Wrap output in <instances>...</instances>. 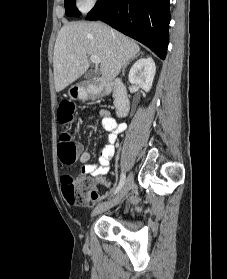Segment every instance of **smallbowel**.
Masks as SVG:
<instances>
[{
    "mask_svg": "<svg viewBox=\"0 0 227 279\" xmlns=\"http://www.w3.org/2000/svg\"><path fill=\"white\" fill-rule=\"evenodd\" d=\"M101 117L102 126L105 130L109 131L110 134L107 137V143L99 150V159L97 163H90L91 154L88 151L83 150L80 154L79 160L83 163L81 173L85 177H94L98 184L109 186L105 179V175L109 170V163L114 154V145L117 140V133L123 132L126 129L125 124L118 123L113 119L107 110L101 109L99 111ZM64 196L68 203L74 204V194L69 191H64ZM130 200H135L131 198ZM94 203L99 201V196L92 200ZM141 210L140 207L137 208Z\"/></svg>",
    "mask_w": 227,
    "mask_h": 279,
    "instance_id": "small-bowel-1",
    "label": "small bowel"
}]
</instances>
